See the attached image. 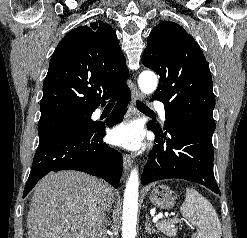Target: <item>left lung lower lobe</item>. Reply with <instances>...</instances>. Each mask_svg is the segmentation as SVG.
<instances>
[{"instance_id": "obj_1", "label": "left lung lower lobe", "mask_w": 247, "mask_h": 238, "mask_svg": "<svg viewBox=\"0 0 247 238\" xmlns=\"http://www.w3.org/2000/svg\"><path fill=\"white\" fill-rule=\"evenodd\" d=\"M149 129L154 132L157 143L143 170V185L177 178L202 184L220 195L212 167V134L182 120L169 121L166 132L155 128L153 123L149 124Z\"/></svg>"}]
</instances>
